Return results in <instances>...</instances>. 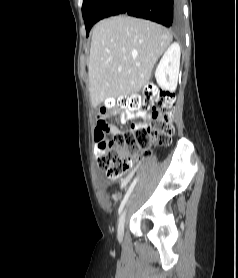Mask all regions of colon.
Here are the masks:
<instances>
[{"label": "colon", "mask_w": 238, "mask_h": 278, "mask_svg": "<svg viewBox=\"0 0 238 278\" xmlns=\"http://www.w3.org/2000/svg\"><path fill=\"white\" fill-rule=\"evenodd\" d=\"M174 101L172 93L147 87L141 93L117 100L108 99L99 110L94 131L95 139L100 140L102 154L98 158L100 169L111 178H117L127 172L136 159L150 154L153 144L166 146L174 133ZM117 104L131 110L148 112L152 122L148 127L128 132H118L111 140H106L108 125L100 119V114Z\"/></svg>", "instance_id": "5ec220e1"}]
</instances>
